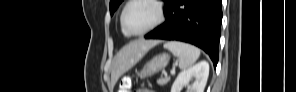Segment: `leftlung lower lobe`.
Wrapping results in <instances>:
<instances>
[{
  "mask_svg": "<svg viewBox=\"0 0 296 92\" xmlns=\"http://www.w3.org/2000/svg\"><path fill=\"white\" fill-rule=\"evenodd\" d=\"M221 1L169 0L164 8L166 21L145 38L191 43L203 49L216 66L222 22Z\"/></svg>",
  "mask_w": 296,
  "mask_h": 92,
  "instance_id": "left-lung-lower-lobe-1",
  "label": "left lung lower lobe"
}]
</instances>
